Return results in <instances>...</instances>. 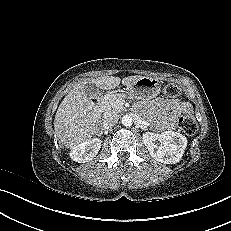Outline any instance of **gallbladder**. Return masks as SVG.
<instances>
[{
  "label": "gallbladder",
  "mask_w": 231,
  "mask_h": 231,
  "mask_svg": "<svg viewBox=\"0 0 231 231\" xmlns=\"http://www.w3.org/2000/svg\"><path fill=\"white\" fill-rule=\"evenodd\" d=\"M83 89L87 96H97L101 92L100 89L93 83L85 84Z\"/></svg>",
  "instance_id": "obj_1"
}]
</instances>
